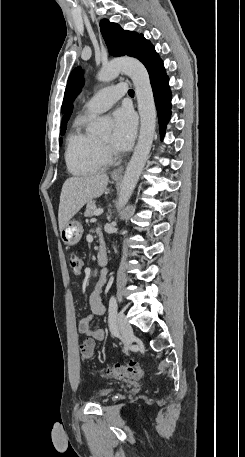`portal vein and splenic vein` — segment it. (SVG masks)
Segmentation results:
<instances>
[{"label": "portal vein and splenic vein", "instance_id": "18ae733b", "mask_svg": "<svg viewBox=\"0 0 245 457\" xmlns=\"http://www.w3.org/2000/svg\"><path fill=\"white\" fill-rule=\"evenodd\" d=\"M103 212V208H97V210H95L94 214L95 216H99V214H102Z\"/></svg>", "mask_w": 245, "mask_h": 457}]
</instances>
